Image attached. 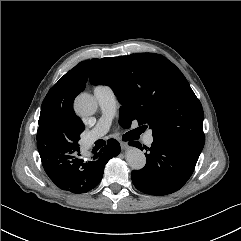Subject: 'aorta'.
Wrapping results in <instances>:
<instances>
[{
    "mask_svg": "<svg viewBox=\"0 0 241 241\" xmlns=\"http://www.w3.org/2000/svg\"><path fill=\"white\" fill-rule=\"evenodd\" d=\"M97 108L98 103L90 94L82 93L75 99L74 109L80 116H91L95 114ZM126 161L133 170H140L146 164V157L140 149L131 147L126 152Z\"/></svg>",
    "mask_w": 241,
    "mask_h": 241,
    "instance_id": "1",
    "label": "aorta"
}]
</instances>
